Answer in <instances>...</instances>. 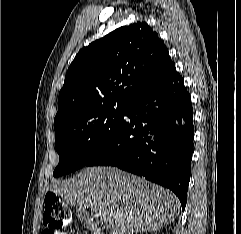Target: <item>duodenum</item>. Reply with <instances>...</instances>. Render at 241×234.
I'll return each mask as SVG.
<instances>
[{"label":"duodenum","instance_id":"duodenum-1","mask_svg":"<svg viewBox=\"0 0 241 234\" xmlns=\"http://www.w3.org/2000/svg\"><path fill=\"white\" fill-rule=\"evenodd\" d=\"M95 234H101V232L100 231H96Z\"/></svg>","mask_w":241,"mask_h":234}]
</instances>
